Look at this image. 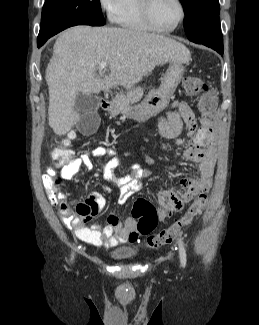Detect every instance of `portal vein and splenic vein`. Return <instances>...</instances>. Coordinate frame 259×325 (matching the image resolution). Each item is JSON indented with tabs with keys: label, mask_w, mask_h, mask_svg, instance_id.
<instances>
[{
	"label": "portal vein and splenic vein",
	"mask_w": 259,
	"mask_h": 325,
	"mask_svg": "<svg viewBox=\"0 0 259 325\" xmlns=\"http://www.w3.org/2000/svg\"><path fill=\"white\" fill-rule=\"evenodd\" d=\"M106 66H107V62H101L100 64H99V70L100 71H102L103 69H105L106 68Z\"/></svg>",
	"instance_id": "18ae733b"
}]
</instances>
